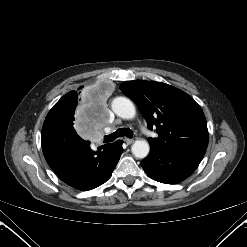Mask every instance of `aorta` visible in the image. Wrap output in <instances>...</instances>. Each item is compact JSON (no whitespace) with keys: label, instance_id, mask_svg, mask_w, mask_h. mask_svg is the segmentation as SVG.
I'll return each instance as SVG.
<instances>
[{"label":"aorta","instance_id":"aorta-1","mask_svg":"<svg viewBox=\"0 0 247 247\" xmlns=\"http://www.w3.org/2000/svg\"><path fill=\"white\" fill-rule=\"evenodd\" d=\"M113 112L123 119H133L136 115V109L133 102L125 97H116L111 103ZM132 153L136 158L143 159L147 157L150 151L148 141L139 139L131 147Z\"/></svg>","mask_w":247,"mask_h":247}]
</instances>
